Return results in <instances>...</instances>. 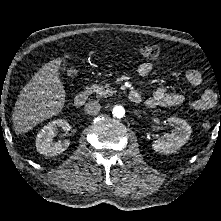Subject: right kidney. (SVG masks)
Returning <instances> with one entry per match:
<instances>
[{"label": "right kidney", "instance_id": "obj_1", "mask_svg": "<svg viewBox=\"0 0 221 221\" xmlns=\"http://www.w3.org/2000/svg\"><path fill=\"white\" fill-rule=\"evenodd\" d=\"M68 129L69 124L67 121L57 119L44 126L36 137V149L40 154L45 156H57L63 153L69 146L68 140L53 143V137L58 128Z\"/></svg>", "mask_w": 221, "mask_h": 221}]
</instances>
